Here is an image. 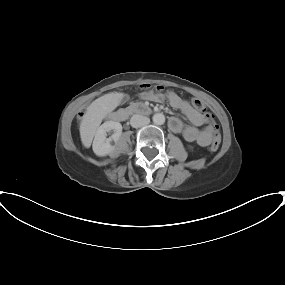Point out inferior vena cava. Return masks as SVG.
Instances as JSON below:
<instances>
[{
	"label": "inferior vena cava",
	"mask_w": 285,
	"mask_h": 285,
	"mask_svg": "<svg viewBox=\"0 0 285 285\" xmlns=\"http://www.w3.org/2000/svg\"><path fill=\"white\" fill-rule=\"evenodd\" d=\"M150 123V119L148 117L142 115H133L130 120V124L133 128H140Z\"/></svg>",
	"instance_id": "obj_1"
}]
</instances>
